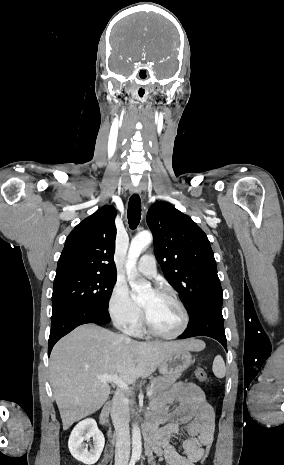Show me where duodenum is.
Instances as JSON below:
<instances>
[{
	"mask_svg": "<svg viewBox=\"0 0 284 465\" xmlns=\"http://www.w3.org/2000/svg\"><path fill=\"white\" fill-rule=\"evenodd\" d=\"M113 406V401H108V404L107 406H105L102 410H101V413H100V423L103 425V426H106L107 423H108V417H109V414H110V411H111V407ZM110 433L112 434V439L113 441L115 440V435L113 433L112 430H110ZM141 434L144 438V440L147 442L149 439H150V433L146 430L145 426L144 428L141 429Z\"/></svg>",
	"mask_w": 284,
	"mask_h": 465,
	"instance_id": "410a0bca",
	"label": "duodenum"
}]
</instances>
